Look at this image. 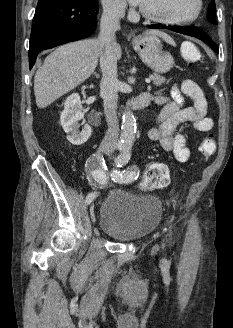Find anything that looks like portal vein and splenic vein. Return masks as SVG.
Returning <instances> with one entry per match:
<instances>
[{
    "instance_id": "portal-vein-and-splenic-vein-1",
    "label": "portal vein and splenic vein",
    "mask_w": 233,
    "mask_h": 328,
    "mask_svg": "<svg viewBox=\"0 0 233 328\" xmlns=\"http://www.w3.org/2000/svg\"><path fill=\"white\" fill-rule=\"evenodd\" d=\"M145 82L149 84L151 82V79L150 78H146L145 79Z\"/></svg>"
}]
</instances>
